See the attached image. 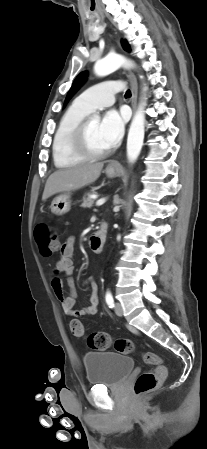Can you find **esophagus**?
Returning a JSON list of instances; mask_svg holds the SVG:
<instances>
[{
	"mask_svg": "<svg viewBox=\"0 0 207 449\" xmlns=\"http://www.w3.org/2000/svg\"><path fill=\"white\" fill-rule=\"evenodd\" d=\"M125 75L127 76L130 84H131V90H132V98H131V106L133 111L135 110L136 107V101H137V93H138V84H137V80L136 77L134 76L133 73H131L128 70L124 71ZM118 166V162L117 161H112L109 164V167L114 168Z\"/></svg>",
	"mask_w": 207,
	"mask_h": 449,
	"instance_id": "34e87169",
	"label": "esophagus"
}]
</instances>
